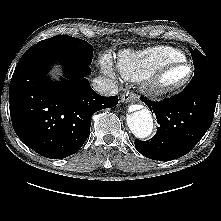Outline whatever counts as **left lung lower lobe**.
Masks as SVG:
<instances>
[{
	"label": "left lung lower lobe",
	"mask_w": 221,
	"mask_h": 221,
	"mask_svg": "<svg viewBox=\"0 0 221 221\" xmlns=\"http://www.w3.org/2000/svg\"><path fill=\"white\" fill-rule=\"evenodd\" d=\"M141 100L160 126L150 140H135L136 149L153 160L177 159L191 151L210 128L216 103H221V71L195 74L181 93L167 100Z\"/></svg>",
	"instance_id": "1"
}]
</instances>
